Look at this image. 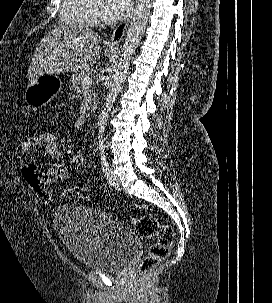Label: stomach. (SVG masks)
<instances>
[{
  "instance_id": "0dacf381",
  "label": "stomach",
  "mask_w": 272,
  "mask_h": 303,
  "mask_svg": "<svg viewBox=\"0 0 272 303\" xmlns=\"http://www.w3.org/2000/svg\"><path fill=\"white\" fill-rule=\"evenodd\" d=\"M112 51V49H108ZM60 91V81L57 77L42 75L29 82L25 89L24 100L29 107L46 106Z\"/></svg>"
}]
</instances>
